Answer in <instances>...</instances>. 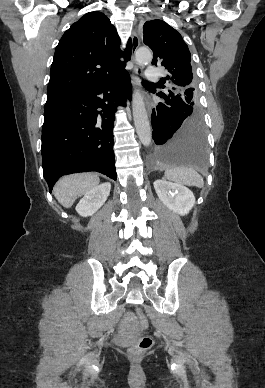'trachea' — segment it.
<instances>
[{
    "label": "trachea",
    "instance_id": "obj_1",
    "mask_svg": "<svg viewBox=\"0 0 265 388\" xmlns=\"http://www.w3.org/2000/svg\"><path fill=\"white\" fill-rule=\"evenodd\" d=\"M150 82H143V84H149Z\"/></svg>",
    "mask_w": 265,
    "mask_h": 388
}]
</instances>
